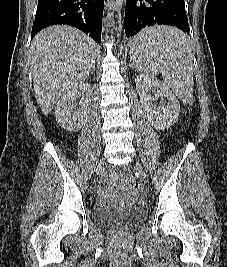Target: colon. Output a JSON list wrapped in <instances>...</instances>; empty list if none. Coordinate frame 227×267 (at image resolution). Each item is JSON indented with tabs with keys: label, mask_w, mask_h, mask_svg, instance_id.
<instances>
[{
	"label": "colon",
	"mask_w": 227,
	"mask_h": 267,
	"mask_svg": "<svg viewBox=\"0 0 227 267\" xmlns=\"http://www.w3.org/2000/svg\"><path fill=\"white\" fill-rule=\"evenodd\" d=\"M106 179L109 181H117L122 187L129 191L138 190V181L132 174H125L121 178H116L114 172L110 171L106 175Z\"/></svg>",
	"instance_id": "1"
}]
</instances>
